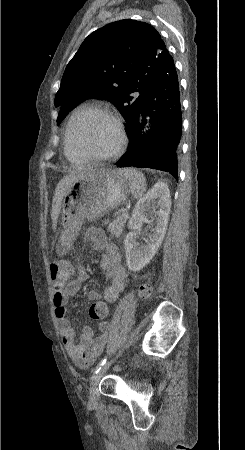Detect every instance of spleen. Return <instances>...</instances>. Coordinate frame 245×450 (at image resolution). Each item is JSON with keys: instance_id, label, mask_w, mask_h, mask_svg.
<instances>
[{"instance_id": "3e777b00", "label": "spleen", "mask_w": 245, "mask_h": 450, "mask_svg": "<svg viewBox=\"0 0 245 450\" xmlns=\"http://www.w3.org/2000/svg\"><path fill=\"white\" fill-rule=\"evenodd\" d=\"M122 172L129 181L132 196L136 199L140 198L146 190L144 175L134 169H124Z\"/></svg>"}]
</instances>
